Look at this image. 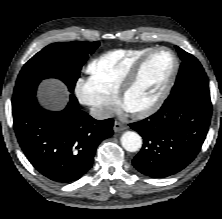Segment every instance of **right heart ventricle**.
Listing matches in <instances>:
<instances>
[{
  "mask_svg": "<svg viewBox=\"0 0 222 219\" xmlns=\"http://www.w3.org/2000/svg\"><path fill=\"white\" fill-rule=\"evenodd\" d=\"M152 47L117 49L101 54L87 67L89 79L103 95L115 98L123 77Z\"/></svg>",
  "mask_w": 222,
  "mask_h": 219,
  "instance_id": "obj_1",
  "label": "right heart ventricle"
}]
</instances>
